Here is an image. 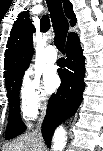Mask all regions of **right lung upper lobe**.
Here are the masks:
<instances>
[{
	"instance_id": "cb5924a9",
	"label": "right lung upper lobe",
	"mask_w": 103,
	"mask_h": 151,
	"mask_svg": "<svg viewBox=\"0 0 103 151\" xmlns=\"http://www.w3.org/2000/svg\"><path fill=\"white\" fill-rule=\"evenodd\" d=\"M65 14L70 19V25L76 24L75 14L72 5L68 0H63ZM50 27L49 19L44 16L40 22V30L46 31ZM35 31L29 19V11H23L18 15L17 20L10 32L4 59V76L6 87L24 74L30 64L33 55L32 35ZM76 34L69 33L68 36Z\"/></svg>"
}]
</instances>
